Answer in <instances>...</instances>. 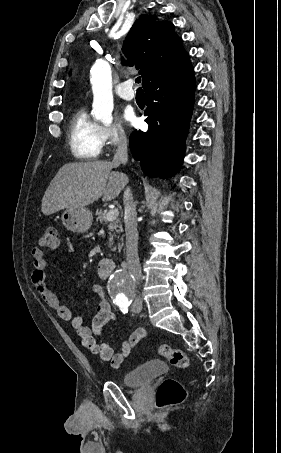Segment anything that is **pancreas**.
Returning a JSON list of instances; mask_svg holds the SVG:
<instances>
[{"mask_svg": "<svg viewBox=\"0 0 281 453\" xmlns=\"http://www.w3.org/2000/svg\"><path fill=\"white\" fill-rule=\"evenodd\" d=\"M96 214H97L96 220H99V222H101V224H105V222L107 220V218H105L106 210H102V208H100V210H98V208H97ZM108 229H109V231H112V233H109V247H111L114 237H117V239H119L120 233H123L120 218H115V220H110V222L108 224ZM122 237H123V235H122ZM120 241H122V239H120Z\"/></svg>", "mask_w": 281, "mask_h": 453, "instance_id": "1", "label": "pancreas"}]
</instances>
